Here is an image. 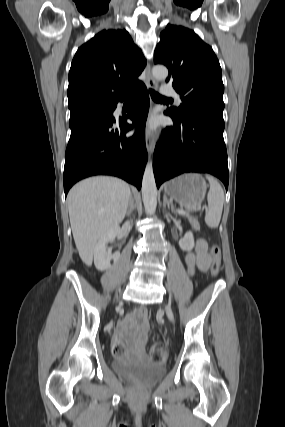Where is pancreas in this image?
<instances>
[{
	"label": "pancreas",
	"mask_w": 285,
	"mask_h": 427,
	"mask_svg": "<svg viewBox=\"0 0 285 427\" xmlns=\"http://www.w3.org/2000/svg\"><path fill=\"white\" fill-rule=\"evenodd\" d=\"M189 221L193 225V227L197 228L199 226V223L196 219L190 218Z\"/></svg>",
	"instance_id": "pancreas-1"
}]
</instances>
